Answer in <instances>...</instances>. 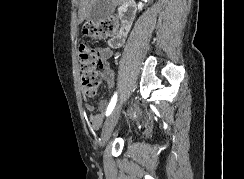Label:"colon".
Returning <instances> with one entry per match:
<instances>
[{
  "mask_svg": "<svg viewBox=\"0 0 244 179\" xmlns=\"http://www.w3.org/2000/svg\"><path fill=\"white\" fill-rule=\"evenodd\" d=\"M116 28L115 19H103L83 25L82 34L90 39H98L113 34ZM78 56L82 87L87 96L93 97L98 92L103 75L98 54L92 45L84 43L79 46ZM96 122L97 118H92L91 124Z\"/></svg>",
  "mask_w": 244,
  "mask_h": 179,
  "instance_id": "obj_1",
  "label": "colon"
}]
</instances>
